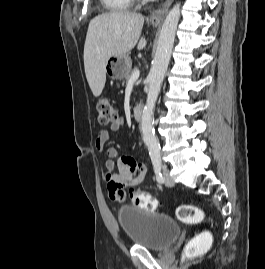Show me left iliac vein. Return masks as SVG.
Masks as SVG:
<instances>
[{"label": "left iliac vein", "mask_w": 265, "mask_h": 269, "mask_svg": "<svg viewBox=\"0 0 265 269\" xmlns=\"http://www.w3.org/2000/svg\"><path fill=\"white\" fill-rule=\"evenodd\" d=\"M163 175L165 178V185L168 187L174 186V181L172 180V178L170 176V171L167 168L163 169Z\"/></svg>", "instance_id": "obj_1"}]
</instances>
